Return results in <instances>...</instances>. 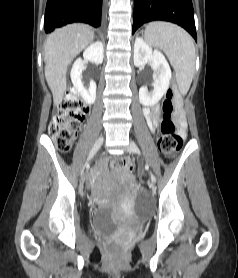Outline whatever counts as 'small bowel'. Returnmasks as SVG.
I'll list each match as a JSON object with an SVG mask.
<instances>
[{
  "label": "small bowel",
  "mask_w": 238,
  "mask_h": 278,
  "mask_svg": "<svg viewBox=\"0 0 238 278\" xmlns=\"http://www.w3.org/2000/svg\"><path fill=\"white\" fill-rule=\"evenodd\" d=\"M144 116L148 123L149 128L154 131L160 122V107L158 105L153 108L145 107L143 110ZM176 120L179 125V134L181 136H185V122L183 119V114L178 106V110L176 112Z\"/></svg>",
  "instance_id": "small-bowel-1"
}]
</instances>
